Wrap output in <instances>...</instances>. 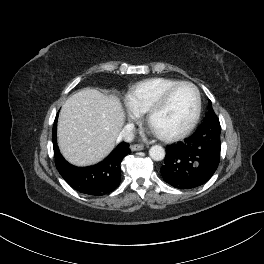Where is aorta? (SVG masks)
Returning a JSON list of instances; mask_svg holds the SVG:
<instances>
[{
	"label": "aorta",
	"mask_w": 264,
	"mask_h": 264,
	"mask_svg": "<svg viewBox=\"0 0 264 264\" xmlns=\"http://www.w3.org/2000/svg\"><path fill=\"white\" fill-rule=\"evenodd\" d=\"M149 156L154 160V161H161L165 157V150L162 146L160 145H154L149 149Z\"/></svg>",
	"instance_id": "aorta-1"
}]
</instances>
